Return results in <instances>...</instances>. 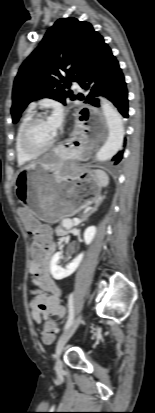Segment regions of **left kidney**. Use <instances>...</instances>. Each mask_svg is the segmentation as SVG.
Instances as JSON below:
<instances>
[{"label": "left kidney", "mask_w": 155, "mask_h": 413, "mask_svg": "<svg viewBox=\"0 0 155 413\" xmlns=\"http://www.w3.org/2000/svg\"><path fill=\"white\" fill-rule=\"evenodd\" d=\"M95 234H96L95 226H90L86 228L84 232V242L87 245H89L94 239ZM83 256L84 254L80 253L70 264L66 266V268H62L58 265L60 259L62 258V255L60 252L55 253L50 263V271H51L53 278L56 280H61L73 274L78 268V266L80 265L83 259Z\"/></svg>", "instance_id": "1"}]
</instances>
